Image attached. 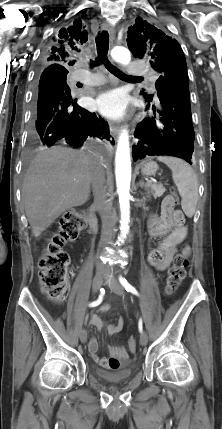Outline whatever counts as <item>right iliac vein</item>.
<instances>
[{
	"mask_svg": "<svg viewBox=\"0 0 222 429\" xmlns=\"http://www.w3.org/2000/svg\"><path fill=\"white\" fill-rule=\"evenodd\" d=\"M103 282V271L99 270L97 274L95 275L93 282H92V291L93 293H97L99 289L102 286ZM79 338L82 343H85L87 341V331L85 329H82L79 334Z\"/></svg>",
	"mask_w": 222,
	"mask_h": 429,
	"instance_id": "1",
	"label": "right iliac vein"
}]
</instances>
